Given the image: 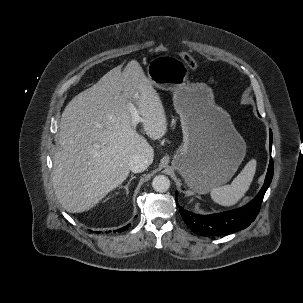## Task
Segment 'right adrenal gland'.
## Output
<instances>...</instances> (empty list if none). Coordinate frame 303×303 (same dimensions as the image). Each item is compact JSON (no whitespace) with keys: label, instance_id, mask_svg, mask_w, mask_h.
Returning a JSON list of instances; mask_svg holds the SVG:
<instances>
[{"label":"right adrenal gland","instance_id":"right-adrenal-gland-1","mask_svg":"<svg viewBox=\"0 0 303 303\" xmlns=\"http://www.w3.org/2000/svg\"><path fill=\"white\" fill-rule=\"evenodd\" d=\"M134 178H135V176H134V175H131V178L129 179L128 183H127L125 186H120V188H124V189H125L126 194L129 193V189H128V188H129V185H130L131 181H132Z\"/></svg>","mask_w":303,"mask_h":303}]
</instances>
